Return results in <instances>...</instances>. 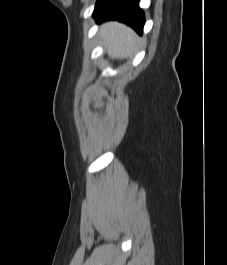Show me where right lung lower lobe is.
Returning <instances> with one entry per match:
<instances>
[{
	"label": "right lung lower lobe",
	"instance_id": "98d812e1",
	"mask_svg": "<svg viewBox=\"0 0 227 265\" xmlns=\"http://www.w3.org/2000/svg\"><path fill=\"white\" fill-rule=\"evenodd\" d=\"M139 0H107L93 16L97 22L118 20L130 25L142 33L145 23L143 11L138 6Z\"/></svg>",
	"mask_w": 227,
	"mask_h": 265
}]
</instances>
